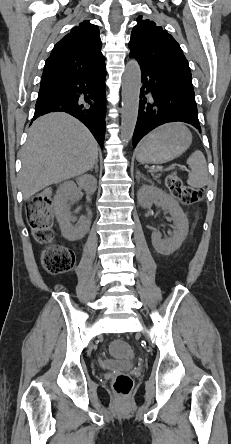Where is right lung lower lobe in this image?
Segmentation results:
<instances>
[{"label":"right lung lower lobe","mask_w":231,"mask_h":444,"mask_svg":"<svg viewBox=\"0 0 231 444\" xmlns=\"http://www.w3.org/2000/svg\"><path fill=\"white\" fill-rule=\"evenodd\" d=\"M106 71L41 86L35 106V120L52 111H64L82 121L103 148L105 135Z\"/></svg>","instance_id":"right-lung-lower-lobe-1"}]
</instances>
